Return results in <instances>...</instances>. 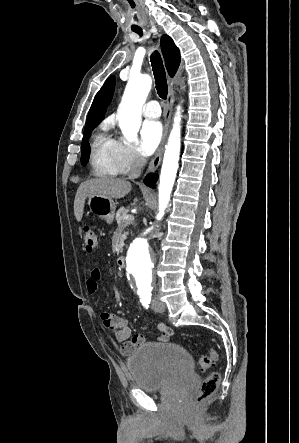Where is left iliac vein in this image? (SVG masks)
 <instances>
[{
  "mask_svg": "<svg viewBox=\"0 0 299 443\" xmlns=\"http://www.w3.org/2000/svg\"><path fill=\"white\" fill-rule=\"evenodd\" d=\"M152 308L155 312H158V313H161L165 310V306L160 302L154 303Z\"/></svg>",
  "mask_w": 299,
  "mask_h": 443,
  "instance_id": "1",
  "label": "left iliac vein"
}]
</instances>
